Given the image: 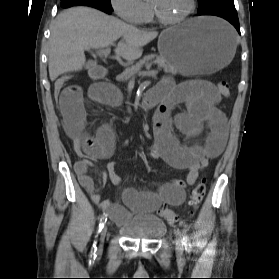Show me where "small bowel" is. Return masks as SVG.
<instances>
[{
    "label": "small bowel",
    "mask_w": 279,
    "mask_h": 279,
    "mask_svg": "<svg viewBox=\"0 0 279 279\" xmlns=\"http://www.w3.org/2000/svg\"><path fill=\"white\" fill-rule=\"evenodd\" d=\"M148 96L159 103L154 115L155 144L148 151L149 159L162 160L174 168L186 169L188 174L185 181L171 179L156 191L126 188L123 201L128 210L116 202L104 199L99 193V187L107 179L115 185L122 184V179L115 172L114 161L107 163L106 171L97 178L89 175L94 162L111 157L115 146L114 132L109 124H103L95 135L87 129L89 102L119 106L122 102L121 92L110 84H93L86 90L77 85H69L59 97L63 127L73 142L76 154L81 158L74 167L78 181L92 200L107 210L119 224L129 219L130 212L149 214L162 203L172 206L183 204L187 185L195 184L200 170L208 166L210 159L222 153L227 141V120L217 106L220 93L211 82L191 80L175 86L170 78H163ZM180 103L186 109L177 113L173 120L178 131L194 140L188 147L180 145L168 125L172 109ZM204 125L208 126L209 132L204 142L200 143L197 138L203 133Z\"/></svg>",
    "instance_id": "c3829d8e"
}]
</instances>
